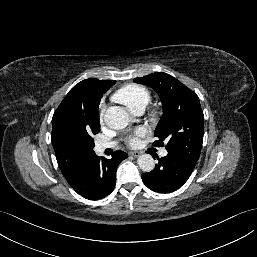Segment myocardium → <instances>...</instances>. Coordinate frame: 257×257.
<instances>
[{
  "label": "myocardium",
  "mask_w": 257,
  "mask_h": 257,
  "mask_svg": "<svg viewBox=\"0 0 257 257\" xmlns=\"http://www.w3.org/2000/svg\"><path fill=\"white\" fill-rule=\"evenodd\" d=\"M157 115H158V112H156V111H153V112H152V116H153V117H157Z\"/></svg>",
  "instance_id": "myocardium-1"
}]
</instances>
